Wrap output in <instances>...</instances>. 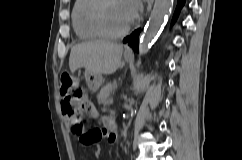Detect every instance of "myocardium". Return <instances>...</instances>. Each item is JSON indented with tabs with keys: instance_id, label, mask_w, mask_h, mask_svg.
<instances>
[{
	"instance_id": "f54148a6",
	"label": "myocardium",
	"mask_w": 242,
	"mask_h": 160,
	"mask_svg": "<svg viewBox=\"0 0 242 160\" xmlns=\"http://www.w3.org/2000/svg\"><path fill=\"white\" fill-rule=\"evenodd\" d=\"M107 2V0H97L95 5L92 8L91 11V21L96 29V31L100 34L101 37L110 39V40H118L126 36L132 29L133 23L130 22V24L121 32L119 33H111L109 32L103 24L102 21V10L104 7V4Z\"/></svg>"
}]
</instances>
